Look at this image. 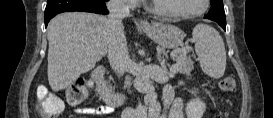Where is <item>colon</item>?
<instances>
[{
    "label": "colon",
    "instance_id": "colon-1",
    "mask_svg": "<svg viewBox=\"0 0 273 118\" xmlns=\"http://www.w3.org/2000/svg\"><path fill=\"white\" fill-rule=\"evenodd\" d=\"M219 88L224 92H233L236 88V82L233 77H224L219 80ZM88 97V91L82 81H75L67 91V100L71 105H79ZM37 109L41 118L56 117L63 109L62 101L44 88L37 91ZM222 112L218 118H224Z\"/></svg>",
    "mask_w": 273,
    "mask_h": 118
}]
</instances>
